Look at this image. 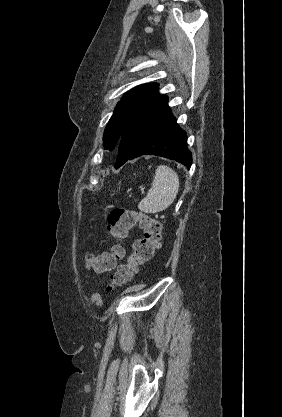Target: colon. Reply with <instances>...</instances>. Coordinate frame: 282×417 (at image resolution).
Wrapping results in <instances>:
<instances>
[{
  "label": "colon",
  "mask_w": 282,
  "mask_h": 417,
  "mask_svg": "<svg viewBox=\"0 0 282 417\" xmlns=\"http://www.w3.org/2000/svg\"><path fill=\"white\" fill-rule=\"evenodd\" d=\"M142 229L143 235L134 242L133 253L120 265L106 284L109 292L121 287L133 278V274L154 257L162 239V224L144 211L114 208L108 216V231L113 244L99 255H88L86 263L93 271L104 273L111 270L123 254L121 242L126 240L133 227Z\"/></svg>",
  "instance_id": "1"
}]
</instances>
